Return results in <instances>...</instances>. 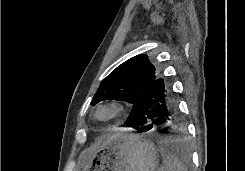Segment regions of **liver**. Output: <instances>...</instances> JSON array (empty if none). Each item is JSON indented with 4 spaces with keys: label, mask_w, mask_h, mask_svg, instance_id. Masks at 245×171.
Returning <instances> with one entry per match:
<instances>
[{
    "label": "liver",
    "mask_w": 245,
    "mask_h": 171,
    "mask_svg": "<svg viewBox=\"0 0 245 171\" xmlns=\"http://www.w3.org/2000/svg\"><path fill=\"white\" fill-rule=\"evenodd\" d=\"M112 139V136H103L99 141L98 143L92 147L91 149L92 150H96L97 148L101 147V146H105L107 143L110 142V140Z\"/></svg>",
    "instance_id": "1"
}]
</instances>
